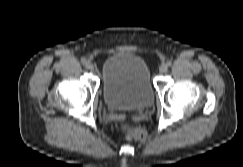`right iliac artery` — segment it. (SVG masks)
I'll use <instances>...</instances> for the list:
<instances>
[{
  "instance_id": "82829eb1",
  "label": "right iliac artery",
  "mask_w": 243,
  "mask_h": 167,
  "mask_svg": "<svg viewBox=\"0 0 243 167\" xmlns=\"http://www.w3.org/2000/svg\"><path fill=\"white\" fill-rule=\"evenodd\" d=\"M86 62H87V61H86L85 58H81V63H82V64H86Z\"/></svg>"
}]
</instances>
